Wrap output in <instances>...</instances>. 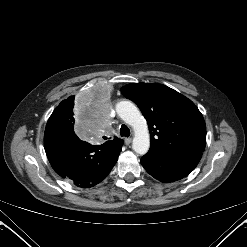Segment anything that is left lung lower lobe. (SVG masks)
<instances>
[{
	"instance_id": "obj_1",
	"label": "left lung lower lobe",
	"mask_w": 247,
	"mask_h": 247,
	"mask_svg": "<svg viewBox=\"0 0 247 247\" xmlns=\"http://www.w3.org/2000/svg\"><path fill=\"white\" fill-rule=\"evenodd\" d=\"M201 151H181L167 153L149 150L141 158L146 171L161 182H171L187 176L199 163Z\"/></svg>"
}]
</instances>
